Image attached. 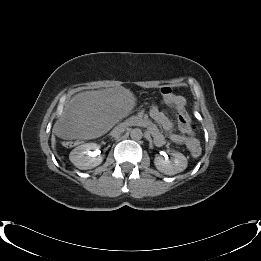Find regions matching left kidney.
<instances>
[{"instance_id": "1", "label": "left kidney", "mask_w": 261, "mask_h": 261, "mask_svg": "<svg viewBox=\"0 0 261 261\" xmlns=\"http://www.w3.org/2000/svg\"><path fill=\"white\" fill-rule=\"evenodd\" d=\"M171 154L173 156L171 159H164L163 156H156L154 159L156 168L160 172L167 175H174L181 172L187 167L188 164L186 157L182 153L172 150Z\"/></svg>"}]
</instances>
